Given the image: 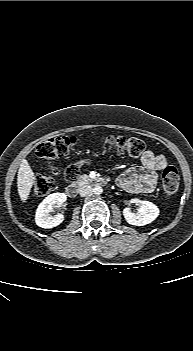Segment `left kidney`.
Wrapping results in <instances>:
<instances>
[{"label":"left kidney","mask_w":193,"mask_h":351,"mask_svg":"<svg viewBox=\"0 0 193 351\" xmlns=\"http://www.w3.org/2000/svg\"><path fill=\"white\" fill-rule=\"evenodd\" d=\"M132 203H139L140 208L137 213H132L130 208L123 210L125 220L135 226H144L153 222L159 215V208L150 201L132 199Z\"/></svg>","instance_id":"left-kidney-1"}]
</instances>
